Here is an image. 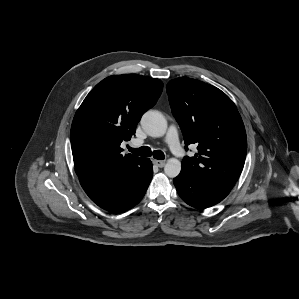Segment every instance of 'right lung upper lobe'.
I'll use <instances>...</instances> for the list:
<instances>
[{"instance_id":"1","label":"right lung upper lobe","mask_w":299,"mask_h":299,"mask_svg":"<svg viewBox=\"0 0 299 299\" xmlns=\"http://www.w3.org/2000/svg\"><path fill=\"white\" fill-rule=\"evenodd\" d=\"M163 90L159 79L113 75L98 83L77 110L71 147L80 180H101L131 168L142 158L122 155L120 144L135 134L137 123Z\"/></svg>"}]
</instances>
